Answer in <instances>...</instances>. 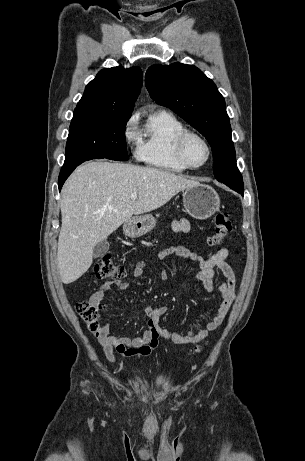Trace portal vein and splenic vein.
Masks as SVG:
<instances>
[{"label": "portal vein and splenic vein", "instance_id": "18ae733b", "mask_svg": "<svg viewBox=\"0 0 305 461\" xmlns=\"http://www.w3.org/2000/svg\"><path fill=\"white\" fill-rule=\"evenodd\" d=\"M136 198H137V194H136V193H132V194H131V199H132V200H135Z\"/></svg>", "mask_w": 305, "mask_h": 461}]
</instances>
